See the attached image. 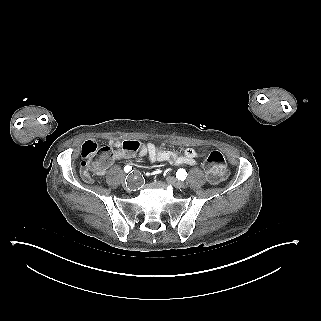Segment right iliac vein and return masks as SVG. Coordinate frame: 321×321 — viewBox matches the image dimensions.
<instances>
[{
    "instance_id": "63e3f726",
    "label": "right iliac vein",
    "mask_w": 321,
    "mask_h": 321,
    "mask_svg": "<svg viewBox=\"0 0 321 321\" xmlns=\"http://www.w3.org/2000/svg\"><path fill=\"white\" fill-rule=\"evenodd\" d=\"M121 182H122V184H123V185L126 183V181L124 182V179H122V181H121Z\"/></svg>"
}]
</instances>
